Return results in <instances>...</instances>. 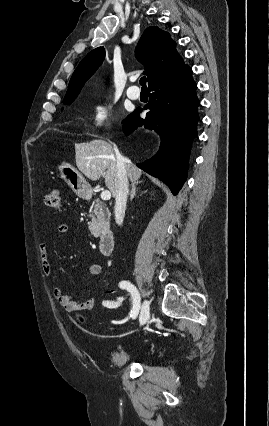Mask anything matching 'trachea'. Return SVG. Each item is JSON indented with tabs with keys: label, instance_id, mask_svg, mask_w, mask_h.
I'll list each match as a JSON object with an SVG mask.
<instances>
[{
	"label": "trachea",
	"instance_id": "1",
	"mask_svg": "<svg viewBox=\"0 0 269 426\" xmlns=\"http://www.w3.org/2000/svg\"><path fill=\"white\" fill-rule=\"evenodd\" d=\"M140 85L142 86V88H146V77H141Z\"/></svg>",
	"mask_w": 269,
	"mask_h": 426
}]
</instances>
